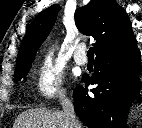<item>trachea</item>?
I'll list each match as a JSON object with an SVG mask.
<instances>
[{
	"label": "trachea",
	"mask_w": 142,
	"mask_h": 128,
	"mask_svg": "<svg viewBox=\"0 0 142 128\" xmlns=\"http://www.w3.org/2000/svg\"><path fill=\"white\" fill-rule=\"evenodd\" d=\"M87 55H88L89 58H94L93 47L89 48Z\"/></svg>",
	"instance_id": "trachea-1"
}]
</instances>
